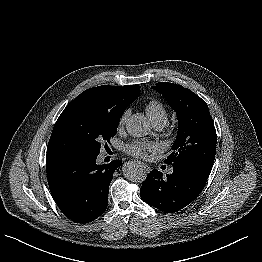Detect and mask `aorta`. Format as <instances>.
<instances>
[{
	"label": "aorta",
	"instance_id": "obj_1",
	"mask_svg": "<svg viewBox=\"0 0 262 262\" xmlns=\"http://www.w3.org/2000/svg\"><path fill=\"white\" fill-rule=\"evenodd\" d=\"M127 132L134 137H143L150 133L151 126L147 118L142 114L132 115L126 123ZM124 176L133 182H142L146 179L147 171L139 162H127L123 165Z\"/></svg>",
	"mask_w": 262,
	"mask_h": 262
}]
</instances>
